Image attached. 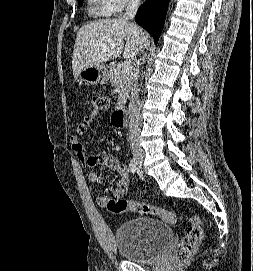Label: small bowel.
I'll return each instance as SVG.
<instances>
[{
    "instance_id": "1",
    "label": "small bowel",
    "mask_w": 253,
    "mask_h": 271,
    "mask_svg": "<svg viewBox=\"0 0 253 271\" xmlns=\"http://www.w3.org/2000/svg\"><path fill=\"white\" fill-rule=\"evenodd\" d=\"M98 116L99 113L95 111L85 115L77 127V134L80 136L85 135ZM70 147L78 161L84 167L89 169L88 179L92 183L96 185L103 184V177L93 170L96 166H105L118 173L119 180L112 195H100L97 197V202L100 206H104L105 203L112 198H122L126 195L131 181V171L127 165L121 164L118 159L109 152H99L97 154L87 155L83 150L82 143L78 136H73L71 138Z\"/></svg>"
}]
</instances>
